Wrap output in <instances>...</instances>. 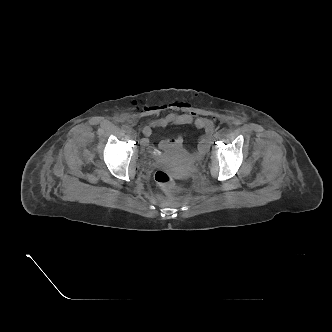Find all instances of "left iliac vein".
<instances>
[{
  "mask_svg": "<svg viewBox=\"0 0 332 332\" xmlns=\"http://www.w3.org/2000/svg\"><path fill=\"white\" fill-rule=\"evenodd\" d=\"M220 137H221V135H220V133L218 132V133L215 134L214 139L217 140V139H219Z\"/></svg>",
  "mask_w": 332,
  "mask_h": 332,
  "instance_id": "obj_1",
  "label": "left iliac vein"
}]
</instances>
